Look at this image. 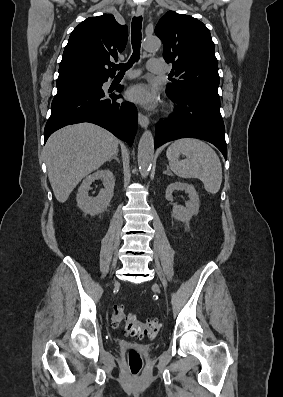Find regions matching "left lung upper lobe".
I'll return each instance as SVG.
<instances>
[{
    "mask_svg": "<svg viewBox=\"0 0 283 397\" xmlns=\"http://www.w3.org/2000/svg\"><path fill=\"white\" fill-rule=\"evenodd\" d=\"M155 34L163 42V58L173 65L172 75L179 77L167 85L166 92L220 102L218 61L209 29L192 16L168 11L156 25Z\"/></svg>",
    "mask_w": 283,
    "mask_h": 397,
    "instance_id": "obj_1",
    "label": "left lung upper lobe"
}]
</instances>
